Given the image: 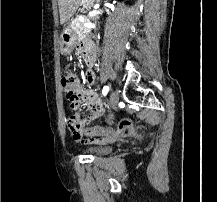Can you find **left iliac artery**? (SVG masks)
Listing matches in <instances>:
<instances>
[{
  "instance_id": "left-iliac-artery-1",
  "label": "left iliac artery",
  "mask_w": 217,
  "mask_h": 202,
  "mask_svg": "<svg viewBox=\"0 0 217 202\" xmlns=\"http://www.w3.org/2000/svg\"><path fill=\"white\" fill-rule=\"evenodd\" d=\"M108 91H109V86H104V87H103V90H102V94H103L104 96H106V94L108 93Z\"/></svg>"
}]
</instances>
